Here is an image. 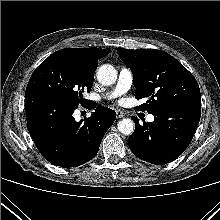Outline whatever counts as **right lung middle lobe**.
Returning <instances> with one entry per match:
<instances>
[{"label": "right lung middle lobe", "mask_w": 220, "mask_h": 220, "mask_svg": "<svg viewBox=\"0 0 220 220\" xmlns=\"http://www.w3.org/2000/svg\"><path fill=\"white\" fill-rule=\"evenodd\" d=\"M94 72L74 57L54 53L35 69L25 96L46 95L78 106L92 88Z\"/></svg>", "instance_id": "obj_1"}]
</instances>
